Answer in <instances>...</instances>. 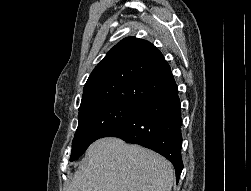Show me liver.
Segmentation results:
<instances>
[{"label": "liver", "instance_id": "obj_1", "mask_svg": "<svg viewBox=\"0 0 251 191\" xmlns=\"http://www.w3.org/2000/svg\"><path fill=\"white\" fill-rule=\"evenodd\" d=\"M173 173L159 153L102 137L89 145L68 191H171Z\"/></svg>", "mask_w": 251, "mask_h": 191}]
</instances>
